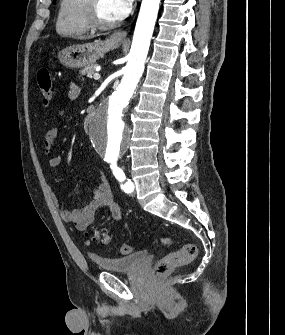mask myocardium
Masks as SVG:
<instances>
[{"instance_id":"myocardium-1","label":"myocardium","mask_w":285,"mask_h":335,"mask_svg":"<svg viewBox=\"0 0 285 335\" xmlns=\"http://www.w3.org/2000/svg\"><path fill=\"white\" fill-rule=\"evenodd\" d=\"M89 11H88V21L89 27L95 32H106L114 28L115 23H105L99 17L98 12V1H88Z\"/></svg>"}]
</instances>
